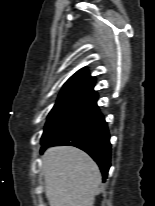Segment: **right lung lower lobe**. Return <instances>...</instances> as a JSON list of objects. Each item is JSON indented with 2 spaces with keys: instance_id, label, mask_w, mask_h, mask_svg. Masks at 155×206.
<instances>
[{
  "instance_id": "obj_1",
  "label": "right lung lower lobe",
  "mask_w": 155,
  "mask_h": 206,
  "mask_svg": "<svg viewBox=\"0 0 155 206\" xmlns=\"http://www.w3.org/2000/svg\"><path fill=\"white\" fill-rule=\"evenodd\" d=\"M48 146L69 145L87 152L99 165L106 180L110 168L111 144L107 123L98 107L65 127L41 139Z\"/></svg>"
}]
</instances>
